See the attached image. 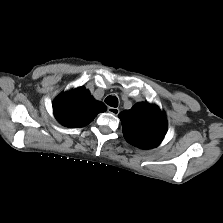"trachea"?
Masks as SVG:
<instances>
[{"mask_svg":"<svg viewBox=\"0 0 223 223\" xmlns=\"http://www.w3.org/2000/svg\"><path fill=\"white\" fill-rule=\"evenodd\" d=\"M105 103L111 107H118V99L115 96L109 95L106 97Z\"/></svg>","mask_w":223,"mask_h":223,"instance_id":"trachea-1","label":"trachea"}]
</instances>
